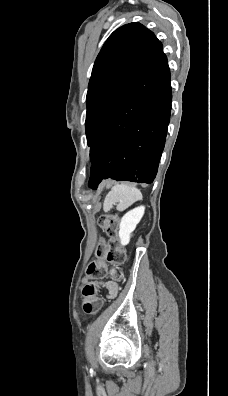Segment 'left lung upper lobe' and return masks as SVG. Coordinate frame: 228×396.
Listing matches in <instances>:
<instances>
[{"mask_svg": "<svg viewBox=\"0 0 228 396\" xmlns=\"http://www.w3.org/2000/svg\"><path fill=\"white\" fill-rule=\"evenodd\" d=\"M158 39L138 22L121 26L98 54L87 92L86 136L92 146L113 107L140 76Z\"/></svg>", "mask_w": 228, "mask_h": 396, "instance_id": "5c2ea615", "label": "left lung upper lobe"}]
</instances>
